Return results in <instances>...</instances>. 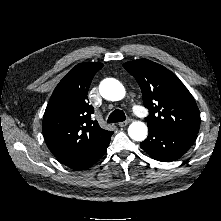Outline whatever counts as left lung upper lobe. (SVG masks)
Listing matches in <instances>:
<instances>
[{"mask_svg": "<svg viewBox=\"0 0 221 221\" xmlns=\"http://www.w3.org/2000/svg\"><path fill=\"white\" fill-rule=\"evenodd\" d=\"M134 76L150 115L145 118L148 127L170 132L197 134L200 112L185 85L171 71L147 59L123 64Z\"/></svg>", "mask_w": 221, "mask_h": 221, "instance_id": "left-lung-upper-lobe-1", "label": "left lung upper lobe"}]
</instances>
